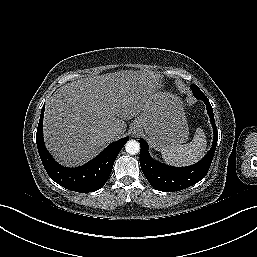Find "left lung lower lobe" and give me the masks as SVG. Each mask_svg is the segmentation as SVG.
<instances>
[{
  "mask_svg": "<svg viewBox=\"0 0 257 257\" xmlns=\"http://www.w3.org/2000/svg\"><path fill=\"white\" fill-rule=\"evenodd\" d=\"M194 96L206 104L214 132L212 147L202 160L188 167L164 165L152 159L148 153L147 142L143 139L139 140L141 146L140 165L142 171L149 183L159 191H180L196 184L206 176L212 163L218 140V131L214 120L213 109L208 98L203 93H197L194 94Z\"/></svg>",
  "mask_w": 257,
  "mask_h": 257,
  "instance_id": "0a47b994",
  "label": "left lung lower lobe"
}]
</instances>
